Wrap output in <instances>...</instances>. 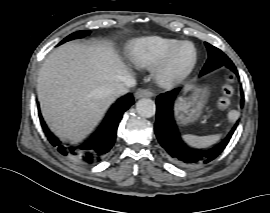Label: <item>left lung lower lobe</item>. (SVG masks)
<instances>
[{
  "label": "left lung lower lobe",
  "instance_id": "0a47b994",
  "mask_svg": "<svg viewBox=\"0 0 270 213\" xmlns=\"http://www.w3.org/2000/svg\"><path fill=\"white\" fill-rule=\"evenodd\" d=\"M237 76L236 67H229ZM180 89H174L158 96L156 100L155 133L164 149L168 159L175 165L183 168L195 167L206 164L215 159L229 143L238 122L229 134L216 146L207 150L189 148L181 140L178 128L173 116V103ZM243 97V94H242ZM243 102L241 103V106Z\"/></svg>",
  "mask_w": 270,
  "mask_h": 213
}]
</instances>
